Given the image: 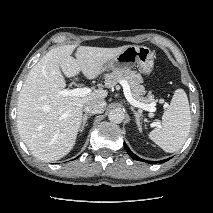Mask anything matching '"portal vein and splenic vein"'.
I'll list each match as a JSON object with an SVG mask.
<instances>
[{"mask_svg":"<svg viewBox=\"0 0 213 213\" xmlns=\"http://www.w3.org/2000/svg\"><path fill=\"white\" fill-rule=\"evenodd\" d=\"M120 84L123 87L124 95H125L127 101L131 105H133L134 107L149 111V112H154L156 110L154 103L144 104L142 102H139V101L135 100L132 97L129 84L126 81L121 80ZM58 93H59V95L65 96V97H83V96H86V95L90 94L91 93V89L87 88V87L74 88V89H63V90H59Z\"/></svg>","mask_w":213,"mask_h":213,"instance_id":"obj_1","label":"portal vein and splenic vein"}]
</instances>
